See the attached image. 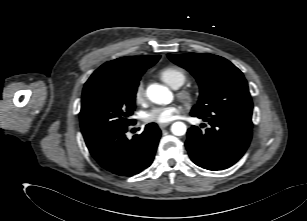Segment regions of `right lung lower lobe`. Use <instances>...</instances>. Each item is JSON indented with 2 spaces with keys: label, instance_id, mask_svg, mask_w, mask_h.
I'll return each mask as SVG.
<instances>
[{
  "label": "right lung lower lobe",
  "instance_id": "right-lung-lower-lobe-1",
  "mask_svg": "<svg viewBox=\"0 0 307 221\" xmlns=\"http://www.w3.org/2000/svg\"><path fill=\"white\" fill-rule=\"evenodd\" d=\"M127 130V127L112 130L86 144L99 165L116 176H133L149 167L161 135L154 123L131 140L126 138Z\"/></svg>",
  "mask_w": 307,
  "mask_h": 221
}]
</instances>
